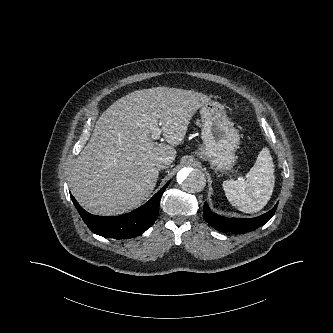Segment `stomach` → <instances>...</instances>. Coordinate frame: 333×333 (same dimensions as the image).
Masks as SVG:
<instances>
[{"instance_id": "0dacf381", "label": "stomach", "mask_w": 333, "mask_h": 333, "mask_svg": "<svg viewBox=\"0 0 333 333\" xmlns=\"http://www.w3.org/2000/svg\"><path fill=\"white\" fill-rule=\"evenodd\" d=\"M200 114L203 144L196 152L197 156L208 160L216 171L230 170L236 161L235 152L240 144L238 130L227 116L224 106L217 101H209L201 106Z\"/></svg>"}]
</instances>
